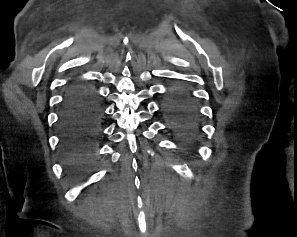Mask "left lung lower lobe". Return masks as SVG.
Masks as SVG:
<instances>
[{
    "mask_svg": "<svg viewBox=\"0 0 297 237\" xmlns=\"http://www.w3.org/2000/svg\"><path fill=\"white\" fill-rule=\"evenodd\" d=\"M164 109L172 120V129L181 137L195 139L199 136V112L192 100L171 102Z\"/></svg>",
    "mask_w": 297,
    "mask_h": 237,
    "instance_id": "0a47b994",
    "label": "left lung lower lobe"
}]
</instances>
